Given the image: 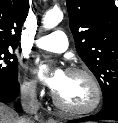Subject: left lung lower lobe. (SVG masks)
<instances>
[{"mask_svg": "<svg viewBox=\"0 0 118 123\" xmlns=\"http://www.w3.org/2000/svg\"><path fill=\"white\" fill-rule=\"evenodd\" d=\"M95 120H115L118 121V100L112 104L105 106L98 114L84 117L81 119L71 120L68 123H77L84 121H95Z\"/></svg>", "mask_w": 118, "mask_h": 123, "instance_id": "left-lung-lower-lobe-1", "label": "left lung lower lobe"}]
</instances>
